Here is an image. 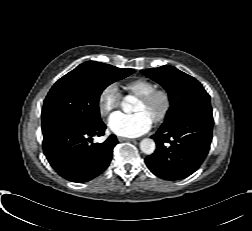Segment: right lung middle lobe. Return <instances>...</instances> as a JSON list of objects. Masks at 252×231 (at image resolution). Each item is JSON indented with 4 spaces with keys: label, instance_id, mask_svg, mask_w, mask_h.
Instances as JSON below:
<instances>
[{
    "label": "right lung middle lobe",
    "instance_id": "obj_1",
    "mask_svg": "<svg viewBox=\"0 0 252 231\" xmlns=\"http://www.w3.org/2000/svg\"><path fill=\"white\" fill-rule=\"evenodd\" d=\"M134 73L133 69L87 61L59 79L42 108V131L63 123L85 126L101 122L98 102L111 83Z\"/></svg>",
    "mask_w": 252,
    "mask_h": 231
}]
</instances>
